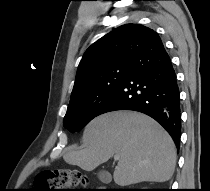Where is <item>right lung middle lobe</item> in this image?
<instances>
[{
  "mask_svg": "<svg viewBox=\"0 0 210 191\" xmlns=\"http://www.w3.org/2000/svg\"><path fill=\"white\" fill-rule=\"evenodd\" d=\"M129 63L113 64L99 71L87 86L71 96L64 127L70 132L80 131L94 117L125 78Z\"/></svg>",
  "mask_w": 210,
  "mask_h": 191,
  "instance_id": "right-lung-middle-lobe-1",
  "label": "right lung middle lobe"
}]
</instances>
